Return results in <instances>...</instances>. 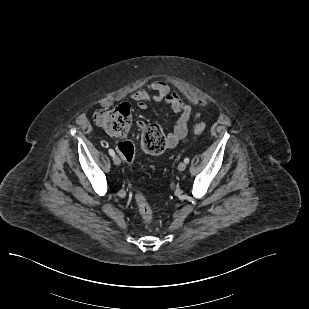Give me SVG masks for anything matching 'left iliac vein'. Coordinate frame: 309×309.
I'll list each match as a JSON object with an SVG mask.
<instances>
[{
  "label": "left iliac vein",
  "mask_w": 309,
  "mask_h": 309,
  "mask_svg": "<svg viewBox=\"0 0 309 309\" xmlns=\"http://www.w3.org/2000/svg\"><path fill=\"white\" fill-rule=\"evenodd\" d=\"M186 163L185 162H181V163H179V165H178V170L179 171H184L185 169H186Z\"/></svg>",
  "instance_id": "1"
}]
</instances>
